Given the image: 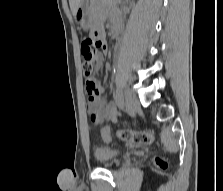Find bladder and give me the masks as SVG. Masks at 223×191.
I'll return each mask as SVG.
<instances>
[{"label":"bladder","instance_id":"31cf9c89","mask_svg":"<svg viewBox=\"0 0 223 191\" xmlns=\"http://www.w3.org/2000/svg\"><path fill=\"white\" fill-rule=\"evenodd\" d=\"M119 155L120 151L118 148L111 144L97 145L93 150L95 161L103 165H109L113 163Z\"/></svg>","mask_w":223,"mask_h":191}]
</instances>
